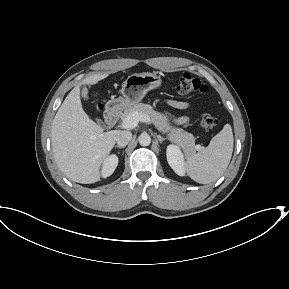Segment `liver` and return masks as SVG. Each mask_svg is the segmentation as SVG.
Here are the masks:
<instances>
[{"label":"liver","mask_w":289,"mask_h":289,"mask_svg":"<svg viewBox=\"0 0 289 289\" xmlns=\"http://www.w3.org/2000/svg\"><path fill=\"white\" fill-rule=\"evenodd\" d=\"M108 73L93 74L76 85L58 109L51 129L56 164L70 180L91 184L100 180V168L115 145L120 131L104 132L82 108L80 86L94 85Z\"/></svg>","instance_id":"6515ba94"}]
</instances>
